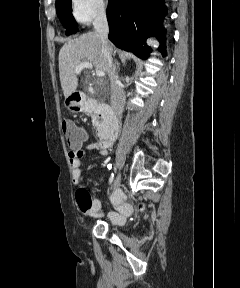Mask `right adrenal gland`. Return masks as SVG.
<instances>
[{"label": "right adrenal gland", "instance_id": "obj_1", "mask_svg": "<svg viewBox=\"0 0 240 288\" xmlns=\"http://www.w3.org/2000/svg\"><path fill=\"white\" fill-rule=\"evenodd\" d=\"M116 66H119L118 62L115 63L114 69H116Z\"/></svg>", "mask_w": 240, "mask_h": 288}]
</instances>
